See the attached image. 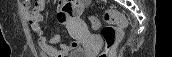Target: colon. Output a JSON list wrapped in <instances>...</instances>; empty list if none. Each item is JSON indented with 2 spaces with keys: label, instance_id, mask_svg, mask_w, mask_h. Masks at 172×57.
Segmentation results:
<instances>
[{
  "label": "colon",
  "instance_id": "1",
  "mask_svg": "<svg viewBox=\"0 0 172 57\" xmlns=\"http://www.w3.org/2000/svg\"><path fill=\"white\" fill-rule=\"evenodd\" d=\"M104 19L108 23L101 29V34L105 42V49L100 52L99 57H111L112 50L120 41L122 29L126 27L127 21L125 17L116 10L105 11ZM89 20L93 29L100 28V21L96 17H90Z\"/></svg>",
  "mask_w": 172,
  "mask_h": 57
}]
</instances>
